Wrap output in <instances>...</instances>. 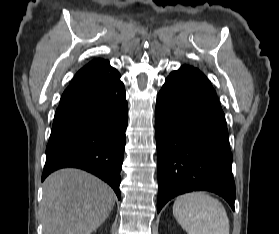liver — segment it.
Returning <instances> with one entry per match:
<instances>
[{
    "label": "liver",
    "instance_id": "obj_1",
    "mask_svg": "<svg viewBox=\"0 0 279 234\" xmlns=\"http://www.w3.org/2000/svg\"><path fill=\"white\" fill-rule=\"evenodd\" d=\"M116 196L97 177L78 169L54 172L44 182V234H90L109 216Z\"/></svg>",
    "mask_w": 279,
    "mask_h": 234
}]
</instances>
